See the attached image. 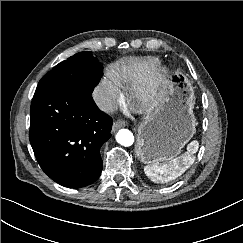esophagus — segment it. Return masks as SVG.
Wrapping results in <instances>:
<instances>
[{"instance_id": "34e87169", "label": "esophagus", "mask_w": 243, "mask_h": 243, "mask_svg": "<svg viewBox=\"0 0 243 243\" xmlns=\"http://www.w3.org/2000/svg\"><path fill=\"white\" fill-rule=\"evenodd\" d=\"M126 125H127V122L122 121V120H118V121H116V122L113 123L112 131L115 132L118 129H120L122 127H125Z\"/></svg>"}]
</instances>
